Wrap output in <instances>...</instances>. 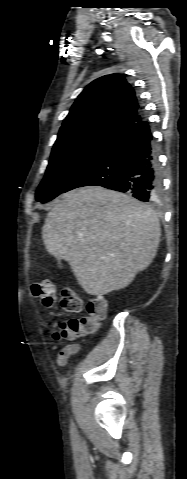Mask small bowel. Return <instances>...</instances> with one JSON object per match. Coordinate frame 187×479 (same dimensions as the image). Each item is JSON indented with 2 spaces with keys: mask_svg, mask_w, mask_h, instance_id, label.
<instances>
[{
  "mask_svg": "<svg viewBox=\"0 0 187 479\" xmlns=\"http://www.w3.org/2000/svg\"><path fill=\"white\" fill-rule=\"evenodd\" d=\"M81 347L77 344H66L57 353L56 363L60 367L67 365L72 356L79 354Z\"/></svg>",
  "mask_w": 187,
  "mask_h": 479,
  "instance_id": "obj_1",
  "label": "small bowel"
}]
</instances>
